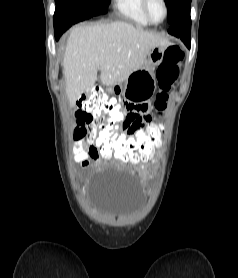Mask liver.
<instances>
[{
    "label": "liver",
    "mask_w": 238,
    "mask_h": 278,
    "mask_svg": "<svg viewBox=\"0 0 238 278\" xmlns=\"http://www.w3.org/2000/svg\"><path fill=\"white\" fill-rule=\"evenodd\" d=\"M168 44L160 34L123 21L73 27L63 59L69 105L74 106L81 95L94 85L98 70L101 71L103 85L120 84L145 65L150 49L156 46L165 48Z\"/></svg>",
    "instance_id": "obj_1"
}]
</instances>
